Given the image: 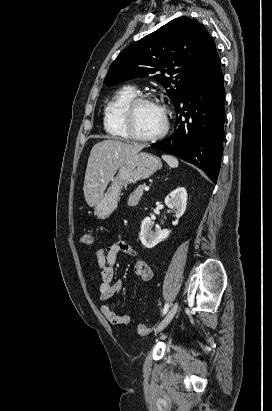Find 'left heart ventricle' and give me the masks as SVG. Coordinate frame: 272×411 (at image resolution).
<instances>
[{"mask_svg": "<svg viewBox=\"0 0 272 411\" xmlns=\"http://www.w3.org/2000/svg\"><path fill=\"white\" fill-rule=\"evenodd\" d=\"M163 125L161 108L154 103L140 104L134 114L133 127L137 134L149 136L160 131Z\"/></svg>", "mask_w": 272, "mask_h": 411, "instance_id": "left-heart-ventricle-1", "label": "left heart ventricle"}]
</instances>
